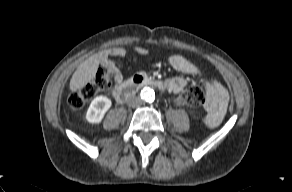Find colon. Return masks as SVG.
<instances>
[{
    "mask_svg": "<svg viewBox=\"0 0 292 192\" xmlns=\"http://www.w3.org/2000/svg\"><path fill=\"white\" fill-rule=\"evenodd\" d=\"M114 80V74L108 69H99L95 77L82 86L74 90L68 97V105L72 111L82 108L86 102L95 97L98 93L107 90ZM178 104L200 106L206 102V95L202 88L190 86L184 89L176 98Z\"/></svg>",
    "mask_w": 292,
    "mask_h": 192,
    "instance_id": "obj_1",
    "label": "colon"
}]
</instances>
